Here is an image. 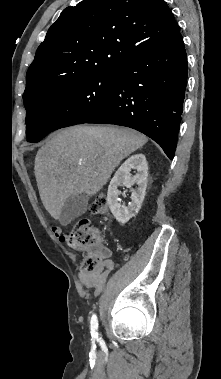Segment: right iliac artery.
Segmentation results:
<instances>
[{"mask_svg":"<svg viewBox=\"0 0 221 379\" xmlns=\"http://www.w3.org/2000/svg\"><path fill=\"white\" fill-rule=\"evenodd\" d=\"M97 327H98V320L97 316L94 314L91 318V334L94 337H97Z\"/></svg>","mask_w":221,"mask_h":379,"instance_id":"right-iliac-artery-1","label":"right iliac artery"}]
</instances>
